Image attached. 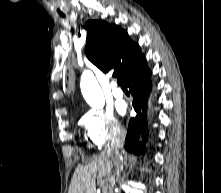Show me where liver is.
Masks as SVG:
<instances>
[{
  "label": "liver",
  "instance_id": "obj_1",
  "mask_svg": "<svg viewBox=\"0 0 221 193\" xmlns=\"http://www.w3.org/2000/svg\"><path fill=\"white\" fill-rule=\"evenodd\" d=\"M114 172L113 155L102 151L87 165H79L73 174L68 193H95V177H111Z\"/></svg>",
  "mask_w": 221,
  "mask_h": 193
}]
</instances>
